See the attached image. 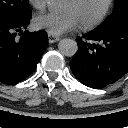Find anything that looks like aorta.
<instances>
[{
  "label": "aorta",
  "mask_w": 128,
  "mask_h": 128,
  "mask_svg": "<svg viewBox=\"0 0 128 128\" xmlns=\"http://www.w3.org/2000/svg\"><path fill=\"white\" fill-rule=\"evenodd\" d=\"M47 4L50 8L52 9H58L63 5V0H46ZM58 49L61 54L67 56V57H72L76 54L78 50V45L77 42L73 39H62L58 43Z\"/></svg>",
  "instance_id": "aorta-1"
}]
</instances>
